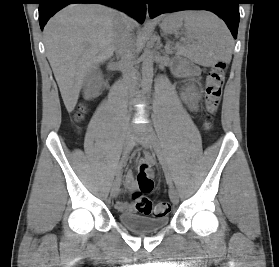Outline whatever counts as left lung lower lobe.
Here are the masks:
<instances>
[{"label":"left lung lower lobe","instance_id":"obj_1","mask_svg":"<svg viewBox=\"0 0 279 267\" xmlns=\"http://www.w3.org/2000/svg\"><path fill=\"white\" fill-rule=\"evenodd\" d=\"M239 0H149V15L154 18L162 13L179 10L201 9L219 15L237 38L239 25Z\"/></svg>","mask_w":279,"mask_h":267}]
</instances>
